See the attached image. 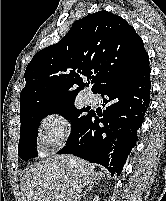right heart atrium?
Segmentation results:
<instances>
[{
    "instance_id": "1",
    "label": "right heart atrium",
    "mask_w": 166,
    "mask_h": 201,
    "mask_svg": "<svg viewBox=\"0 0 166 201\" xmlns=\"http://www.w3.org/2000/svg\"><path fill=\"white\" fill-rule=\"evenodd\" d=\"M68 134V122L59 113L45 116L39 126L38 140L44 150H51L60 146Z\"/></svg>"
}]
</instances>
